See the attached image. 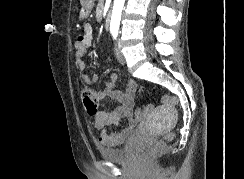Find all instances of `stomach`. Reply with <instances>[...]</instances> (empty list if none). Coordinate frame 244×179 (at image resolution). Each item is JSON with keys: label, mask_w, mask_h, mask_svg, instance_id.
<instances>
[{"label": "stomach", "mask_w": 244, "mask_h": 179, "mask_svg": "<svg viewBox=\"0 0 244 179\" xmlns=\"http://www.w3.org/2000/svg\"><path fill=\"white\" fill-rule=\"evenodd\" d=\"M81 4L80 18H88L92 10V0H81Z\"/></svg>", "instance_id": "1"}]
</instances>
